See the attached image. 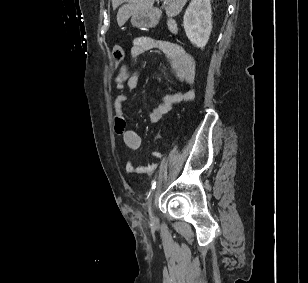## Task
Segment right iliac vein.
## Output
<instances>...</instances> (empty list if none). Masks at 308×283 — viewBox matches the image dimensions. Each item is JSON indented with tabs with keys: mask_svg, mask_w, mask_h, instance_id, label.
Returning a JSON list of instances; mask_svg holds the SVG:
<instances>
[{
	"mask_svg": "<svg viewBox=\"0 0 308 283\" xmlns=\"http://www.w3.org/2000/svg\"><path fill=\"white\" fill-rule=\"evenodd\" d=\"M155 191H153L150 195V198L148 200V211H149V214H150V217L153 218V214H154V208H153V201H154V198H155Z\"/></svg>",
	"mask_w": 308,
	"mask_h": 283,
	"instance_id": "1",
	"label": "right iliac vein"
}]
</instances>
